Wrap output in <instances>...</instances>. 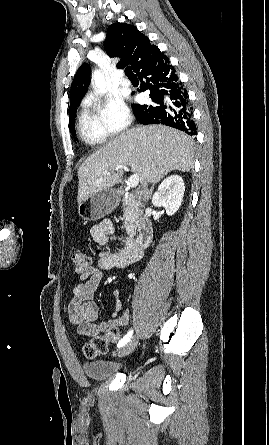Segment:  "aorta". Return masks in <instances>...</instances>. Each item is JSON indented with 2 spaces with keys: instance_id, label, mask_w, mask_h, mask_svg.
I'll return each mask as SVG.
<instances>
[{
  "instance_id": "1",
  "label": "aorta",
  "mask_w": 269,
  "mask_h": 445,
  "mask_svg": "<svg viewBox=\"0 0 269 445\" xmlns=\"http://www.w3.org/2000/svg\"><path fill=\"white\" fill-rule=\"evenodd\" d=\"M92 81L99 93L103 94L106 92V80L103 73L100 70H95L92 73Z\"/></svg>"
}]
</instances>
